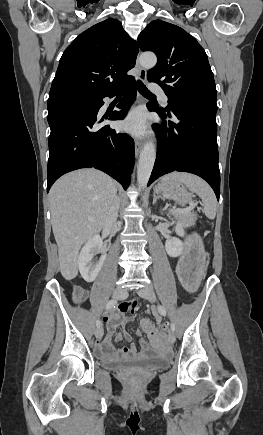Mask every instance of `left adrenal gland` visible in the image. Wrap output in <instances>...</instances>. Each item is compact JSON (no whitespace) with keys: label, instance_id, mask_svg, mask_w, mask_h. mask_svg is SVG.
<instances>
[{"label":"left adrenal gland","instance_id":"left-adrenal-gland-1","mask_svg":"<svg viewBox=\"0 0 263 435\" xmlns=\"http://www.w3.org/2000/svg\"><path fill=\"white\" fill-rule=\"evenodd\" d=\"M159 198H160V195H158V193L156 191H154V193H153V204H155L157 199H159Z\"/></svg>","mask_w":263,"mask_h":435}]
</instances>
